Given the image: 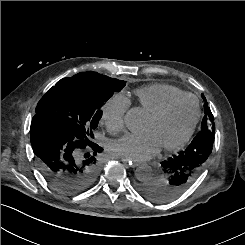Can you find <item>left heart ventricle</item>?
I'll return each mask as SVG.
<instances>
[{"label": "left heart ventricle", "mask_w": 245, "mask_h": 245, "mask_svg": "<svg viewBox=\"0 0 245 245\" xmlns=\"http://www.w3.org/2000/svg\"><path fill=\"white\" fill-rule=\"evenodd\" d=\"M196 112L193 99H184L174 104L161 118L151 120L148 117L142 126V132L152 135L159 147L178 142L191 125Z\"/></svg>", "instance_id": "obj_1"}]
</instances>
